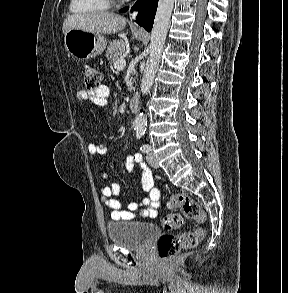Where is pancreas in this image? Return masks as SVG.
<instances>
[{
	"instance_id": "pancreas-1",
	"label": "pancreas",
	"mask_w": 288,
	"mask_h": 293,
	"mask_svg": "<svg viewBox=\"0 0 288 293\" xmlns=\"http://www.w3.org/2000/svg\"><path fill=\"white\" fill-rule=\"evenodd\" d=\"M125 54V43L123 40H114L106 50L105 57L112 63L123 57ZM131 87L129 90L131 91Z\"/></svg>"
}]
</instances>
